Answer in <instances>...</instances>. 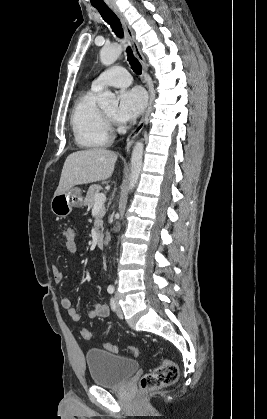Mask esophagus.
Returning a JSON list of instances; mask_svg holds the SVG:
<instances>
[{"label": "esophagus", "mask_w": 267, "mask_h": 419, "mask_svg": "<svg viewBox=\"0 0 267 419\" xmlns=\"http://www.w3.org/2000/svg\"><path fill=\"white\" fill-rule=\"evenodd\" d=\"M112 9L115 12V14L117 15V17L119 18V20H120V22L123 26V29H124L125 35L127 37V40L130 43V45L132 46L133 51H134L136 57L138 58L141 66H142L144 79H145L144 81L146 83L147 88H149V85H148V82H147V79H146L148 66L146 64L145 57H144V55H143V53L140 49V45L136 41L135 33H134L132 27L129 25V23H128L127 19L125 18V16L123 15V13H121L120 10L117 7H112ZM150 102H151V95H150V101H149L148 107H147L144 115L142 116L139 124L130 133V135L127 137L126 146H125L126 151L129 150V148L132 145V143L134 142L135 138L138 136V134L141 132V130L144 127V123H145L147 113H148V110H149V107H150Z\"/></svg>", "instance_id": "obj_1"}]
</instances>
